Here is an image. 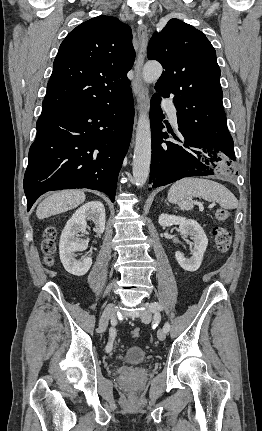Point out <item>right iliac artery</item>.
Returning <instances> with one entry per match:
<instances>
[{
	"label": "right iliac artery",
	"instance_id": "82829eb1",
	"mask_svg": "<svg viewBox=\"0 0 262 431\" xmlns=\"http://www.w3.org/2000/svg\"><path fill=\"white\" fill-rule=\"evenodd\" d=\"M109 337H110V340L106 346L107 352H110L112 350V343H113V340L115 338V334H114L113 330H110Z\"/></svg>",
	"mask_w": 262,
	"mask_h": 431
}]
</instances>
